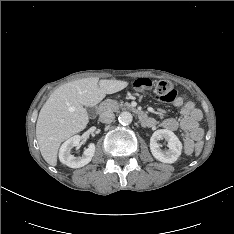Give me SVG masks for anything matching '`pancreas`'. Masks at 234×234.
I'll return each instance as SVG.
<instances>
[{
  "label": "pancreas",
  "mask_w": 234,
  "mask_h": 234,
  "mask_svg": "<svg viewBox=\"0 0 234 234\" xmlns=\"http://www.w3.org/2000/svg\"><path fill=\"white\" fill-rule=\"evenodd\" d=\"M126 106V107H131L130 103L128 102H120L118 103L115 100H106L102 103V107H105L109 111H118L119 108Z\"/></svg>",
  "instance_id": "obj_1"
}]
</instances>
